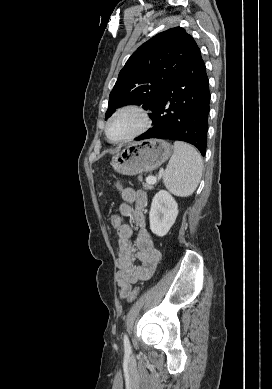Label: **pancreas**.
Listing matches in <instances>:
<instances>
[{
    "label": "pancreas",
    "instance_id": "pancreas-1",
    "mask_svg": "<svg viewBox=\"0 0 272 389\" xmlns=\"http://www.w3.org/2000/svg\"><path fill=\"white\" fill-rule=\"evenodd\" d=\"M149 178V177H148ZM147 178V179H148ZM147 179H146V183H143V188L145 189V190H151V189H153V185L154 184H152V183H149L148 181H147Z\"/></svg>",
    "mask_w": 272,
    "mask_h": 389
}]
</instances>
